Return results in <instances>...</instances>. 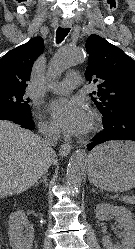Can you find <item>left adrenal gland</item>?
<instances>
[{"label": "left adrenal gland", "instance_id": "1", "mask_svg": "<svg viewBox=\"0 0 135 249\" xmlns=\"http://www.w3.org/2000/svg\"><path fill=\"white\" fill-rule=\"evenodd\" d=\"M91 192L97 193L94 188L91 190Z\"/></svg>", "mask_w": 135, "mask_h": 249}]
</instances>
